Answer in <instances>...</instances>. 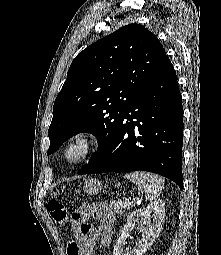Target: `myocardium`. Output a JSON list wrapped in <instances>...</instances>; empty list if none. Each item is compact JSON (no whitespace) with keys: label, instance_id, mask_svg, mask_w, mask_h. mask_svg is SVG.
Segmentation results:
<instances>
[{"label":"myocardium","instance_id":"f54148a6","mask_svg":"<svg viewBox=\"0 0 221 255\" xmlns=\"http://www.w3.org/2000/svg\"><path fill=\"white\" fill-rule=\"evenodd\" d=\"M95 146L96 137L91 131L78 132L68 140L63 152L64 159L71 164H79L92 153ZM74 148H79L80 153L72 158L70 157V151Z\"/></svg>","mask_w":221,"mask_h":255}]
</instances>
